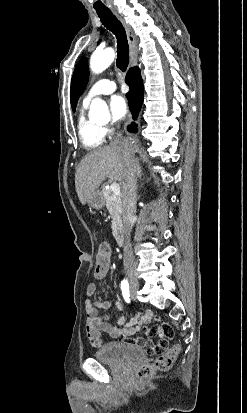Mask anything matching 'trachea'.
<instances>
[{
    "mask_svg": "<svg viewBox=\"0 0 247 413\" xmlns=\"http://www.w3.org/2000/svg\"><path fill=\"white\" fill-rule=\"evenodd\" d=\"M98 16L104 27L110 30L117 38V67L123 72L129 62V46L127 43L126 32L122 23L113 15L112 12L97 11Z\"/></svg>",
    "mask_w": 247,
    "mask_h": 413,
    "instance_id": "obj_1",
    "label": "trachea"
}]
</instances>
